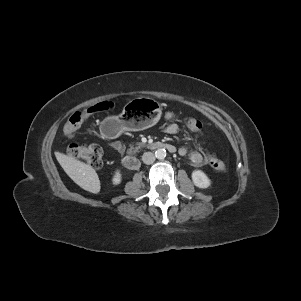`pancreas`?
<instances>
[{
  "label": "pancreas",
  "mask_w": 301,
  "mask_h": 301,
  "mask_svg": "<svg viewBox=\"0 0 301 301\" xmlns=\"http://www.w3.org/2000/svg\"><path fill=\"white\" fill-rule=\"evenodd\" d=\"M143 143L139 142V143H136L135 145L132 144L130 145V148L128 149V153H136V152H139V150L143 147Z\"/></svg>",
  "instance_id": "1"
}]
</instances>
